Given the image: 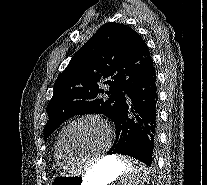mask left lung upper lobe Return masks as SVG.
Returning <instances> with one entry per match:
<instances>
[{"instance_id": "left-lung-upper-lobe-1", "label": "left lung upper lobe", "mask_w": 207, "mask_h": 185, "mask_svg": "<svg viewBox=\"0 0 207 185\" xmlns=\"http://www.w3.org/2000/svg\"><path fill=\"white\" fill-rule=\"evenodd\" d=\"M152 66L150 52L138 33L123 23L102 25L55 81L47 106L45 141L75 115L102 113L115 122L132 84ZM103 94L107 97L101 98Z\"/></svg>"}]
</instances>
